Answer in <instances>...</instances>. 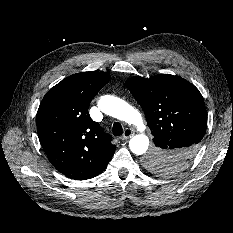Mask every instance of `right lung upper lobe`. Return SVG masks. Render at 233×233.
I'll list each match as a JSON object with an SVG mask.
<instances>
[{"label": "right lung upper lobe", "mask_w": 233, "mask_h": 233, "mask_svg": "<svg viewBox=\"0 0 233 233\" xmlns=\"http://www.w3.org/2000/svg\"><path fill=\"white\" fill-rule=\"evenodd\" d=\"M109 80L106 72L77 73L51 88L40 103L39 141L53 166L71 179L97 176L114 155L112 137L88 115L91 100Z\"/></svg>", "instance_id": "1"}]
</instances>
